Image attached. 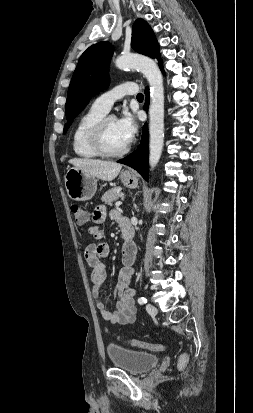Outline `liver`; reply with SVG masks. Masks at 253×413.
<instances>
[{
	"label": "liver",
	"mask_w": 253,
	"mask_h": 413,
	"mask_svg": "<svg viewBox=\"0 0 253 413\" xmlns=\"http://www.w3.org/2000/svg\"><path fill=\"white\" fill-rule=\"evenodd\" d=\"M69 163L74 167L79 168L86 173L105 181H111L115 179L122 165L103 160H95L90 158H74L70 159Z\"/></svg>",
	"instance_id": "liver-1"
}]
</instances>
